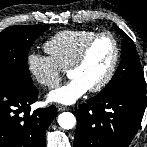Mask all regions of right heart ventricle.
<instances>
[{
    "mask_svg": "<svg viewBox=\"0 0 147 147\" xmlns=\"http://www.w3.org/2000/svg\"><path fill=\"white\" fill-rule=\"evenodd\" d=\"M96 33L88 29L63 30L49 38L44 49L62 70H67L86 41Z\"/></svg>",
    "mask_w": 147,
    "mask_h": 147,
    "instance_id": "obj_1",
    "label": "right heart ventricle"
}]
</instances>
